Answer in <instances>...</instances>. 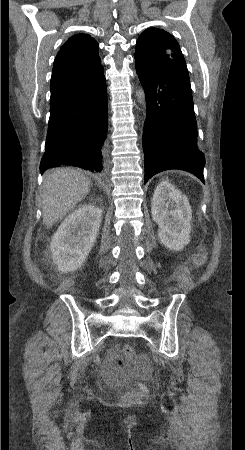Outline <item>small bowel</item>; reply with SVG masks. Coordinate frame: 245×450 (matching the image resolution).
Returning <instances> with one entry per match:
<instances>
[{
    "mask_svg": "<svg viewBox=\"0 0 245 450\" xmlns=\"http://www.w3.org/2000/svg\"><path fill=\"white\" fill-rule=\"evenodd\" d=\"M112 350H117V348L116 347H113V349Z\"/></svg>",
    "mask_w": 245,
    "mask_h": 450,
    "instance_id": "obj_1",
    "label": "small bowel"
}]
</instances>
